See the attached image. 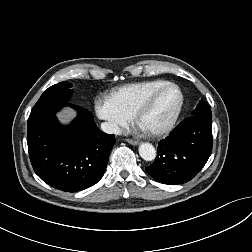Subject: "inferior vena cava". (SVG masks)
Segmentation results:
<instances>
[{
  "mask_svg": "<svg viewBox=\"0 0 252 252\" xmlns=\"http://www.w3.org/2000/svg\"><path fill=\"white\" fill-rule=\"evenodd\" d=\"M101 129L103 132H105L107 134H115V135L122 134V130L120 129V127L114 123H111V122H103L101 124Z\"/></svg>",
  "mask_w": 252,
  "mask_h": 252,
  "instance_id": "inferior-vena-cava-1",
  "label": "inferior vena cava"
}]
</instances>
